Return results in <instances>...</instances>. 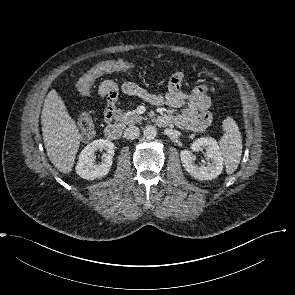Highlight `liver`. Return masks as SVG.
Listing matches in <instances>:
<instances>
[{
	"instance_id": "obj_1",
	"label": "liver",
	"mask_w": 295,
	"mask_h": 295,
	"mask_svg": "<svg viewBox=\"0 0 295 295\" xmlns=\"http://www.w3.org/2000/svg\"><path fill=\"white\" fill-rule=\"evenodd\" d=\"M41 124L50 161L60 172L68 174L74 166L81 135L64 101L54 89L44 100Z\"/></svg>"
}]
</instances>
